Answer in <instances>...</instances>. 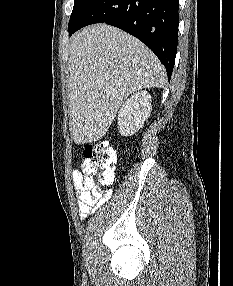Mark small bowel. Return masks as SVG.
Segmentation results:
<instances>
[{"label": "small bowel", "instance_id": "small-bowel-1", "mask_svg": "<svg viewBox=\"0 0 233 286\" xmlns=\"http://www.w3.org/2000/svg\"><path fill=\"white\" fill-rule=\"evenodd\" d=\"M81 170H73L71 182L77 196V206L81 219L97 210L109 198V192L94 186L93 177L89 174L90 163L82 160Z\"/></svg>", "mask_w": 233, "mask_h": 286}]
</instances>
